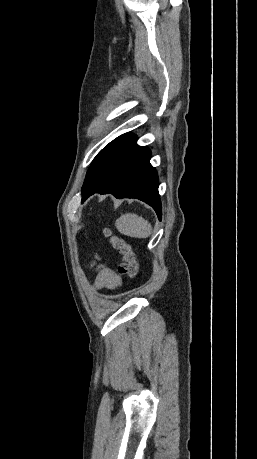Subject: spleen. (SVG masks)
<instances>
[{
  "label": "spleen",
  "mask_w": 257,
  "mask_h": 459,
  "mask_svg": "<svg viewBox=\"0 0 257 459\" xmlns=\"http://www.w3.org/2000/svg\"><path fill=\"white\" fill-rule=\"evenodd\" d=\"M115 226L121 234L134 238H147L152 232L151 224L134 213L121 215L115 221Z\"/></svg>",
  "instance_id": "obj_1"
}]
</instances>
